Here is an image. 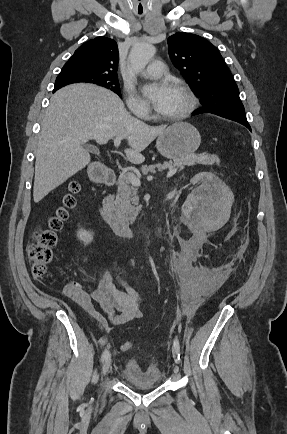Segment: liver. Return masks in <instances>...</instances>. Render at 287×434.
Wrapping results in <instances>:
<instances>
[{"label":"liver","mask_w":287,"mask_h":434,"mask_svg":"<svg viewBox=\"0 0 287 434\" xmlns=\"http://www.w3.org/2000/svg\"><path fill=\"white\" fill-rule=\"evenodd\" d=\"M166 126H150L132 117L113 92L90 84H73L57 91L41 123L35 162L34 202L38 203L91 160L82 145L93 139L106 144L114 137L127 140L131 163H141V154Z\"/></svg>","instance_id":"obj_1"}]
</instances>
